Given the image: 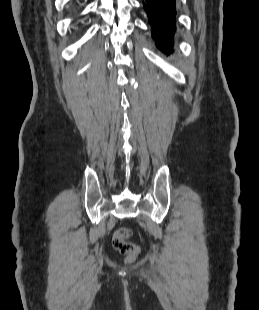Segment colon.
Instances as JSON below:
<instances>
[{"label": "colon", "instance_id": "1", "mask_svg": "<svg viewBox=\"0 0 259 310\" xmlns=\"http://www.w3.org/2000/svg\"><path fill=\"white\" fill-rule=\"evenodd\" d=\"M131 229L127 227L119 228L113 236L112 244L113 247L125 255L129 260L135 259L139 252L140 248L136 244L128 242L129 237L131 236Z\"/></svg>", "mask_w": 259, "mask_h": 310}]
</instances>
